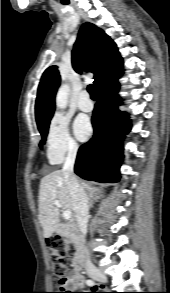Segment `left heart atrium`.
<instances>
[{
    "label": "left heart atrium",
    "instance_id": "obj_1",
    "mask_svg": "<svg viewBox=\"0 0 170 293\" xmlns=\"http://www.w3.org/2000/svg\"><path fill=\"white\" fill-rule=\"evenodd\" d=\"M92 132V126L89 119L85 116H79L74 122V133L79 140H86Z\"/></svg>",
    "mask_w": 170,
    "mask_h": 293
}]
</instances>
